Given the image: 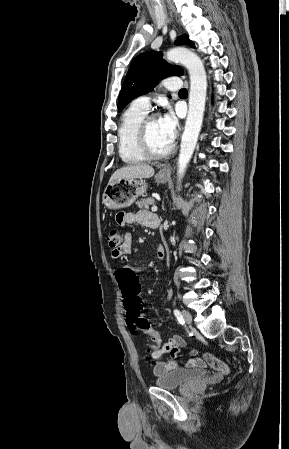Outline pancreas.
Masks as SVG:
<instances>
[{
    "label": "pancreas",
    "mask_w": 289,
    "mask_h": 449,
    "mask_svg": "<svg viewBox=\"0 0 289 449\" xmlns=\"http://www.w3.org/2000/svg\"><path fill=\"white\" fill-rule=\"evenodd\" d=\"M136 204H137V206L139 208L148 209L150 206L155 204V200L150 197V198H146V199L140 200Z\"/></svg>",
    "instance_id": "1"
}]
</instances>
